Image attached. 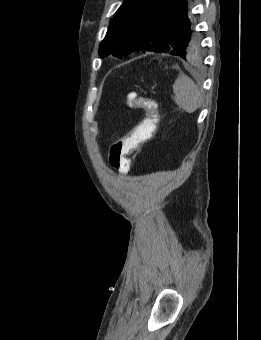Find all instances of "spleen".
Segmentation results:
<instances>
[{"mask_svg":"<svg viewBox=\"0 0 261 340\" xmlns=\"http://www.w3.org/2000/svg\"><path fill=\"white\" fill-rule=\"evenodd\" d=\"M174 101L187 113H194L203 104V95L194 81L180 74L173 84Z\"/></svg>","mask_w":261,"mask_h":340,"instance_id":"1","label":"spleen"}]
</instances>
